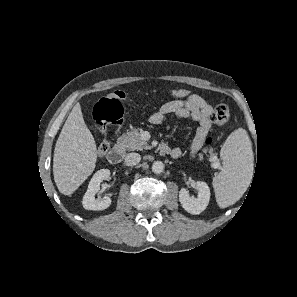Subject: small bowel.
<instances>
[{
  "label": "small bowel",
  "instance_id": "c3829d8e",
  "mask_svg": "<svg viewBox=\"0 0 297 297\" xmlns=\"http://www.w3.org/2000/svg\"><path fill=\"white\" fill-rule=\"evenodd\" d=\"M212 105L206 99L197 94H190L185 99H174L163 104L157 112L150 116V122L159 125L163 122L165 116L172 115L177 118H191L198 123L196 134L190 147V157H195L203 147L208 133L211 129L210 116ZM170 156L178 158L182 151L180 148H170Z\"/></svg>",
  "mask_w": 297,
  "mask_h": 297
}]
</instances>
